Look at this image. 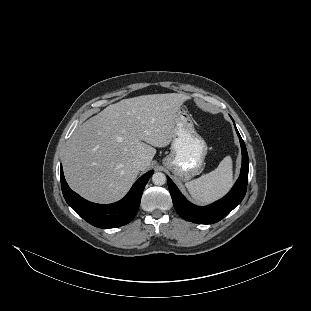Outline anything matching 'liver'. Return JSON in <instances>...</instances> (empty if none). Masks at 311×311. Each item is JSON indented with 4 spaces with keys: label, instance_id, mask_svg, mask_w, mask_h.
I'll return each instance as SVG.
<instances>
[{
    "label": "liver",
    "instance_id": "1",
    "mask_svg": "<svg viewBox=\"0 0 311 311\" xmlns=\"http://www.w3.org/2000/svg\"><path fill=\"white\" fill-rule=\"evenodd\" d=\"M189 99L181 93L122 99L78 126L63 158L71 189L102 204L124 197L140 171L149 169L156 147L172 141L176 114ZM138 158L143 161L139 168L133 165Z\"/></svg>",
    "mask_w": 311,
    "mask_h": 311
}]
</instances>
